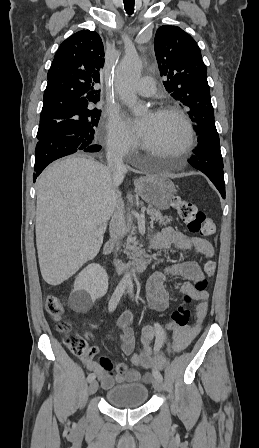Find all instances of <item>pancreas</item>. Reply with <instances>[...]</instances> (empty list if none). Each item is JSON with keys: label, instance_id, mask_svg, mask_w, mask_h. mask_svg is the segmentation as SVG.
Instances as JSON below:
<instances>
[{"label": "pancreas", "instance_id": "1", "mask_svg": "<svg viewBox=\"0 0 259 448\" xmlns=\"http://www.w3.org/2000/svg\"><path fill=\"white\" fill-rule=\"evenodd\" d=\"M147 214H149L151 220L153 222H158L159 226H167V224H170L172 222L171 216H163L159 210H155V208H148ZM135 230H131L130 236H134ZM136 238H129L127 242H134V246H126L127 250H132V252H127V256L131 258V260H134V258H138L139 254H141L142 250L141 248H137L138 242H135Z\"/></svg>", "mask_w": 259, "mask_h": 448}]
</instances>
